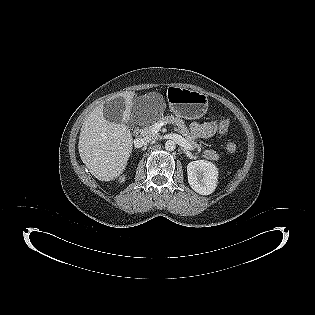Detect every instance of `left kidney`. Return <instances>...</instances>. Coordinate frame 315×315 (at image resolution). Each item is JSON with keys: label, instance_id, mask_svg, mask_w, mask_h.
I'll list each match as a JSON object with an SVG mask.
<instances>
[{"label": "left kidney", "instance_id": "5707ae66", "mask_svg": "<svg viewBox=\"0 0 315 315\" xmlns=\"http://www.w3.org/2000/svg\"><path fill=\"white\" fill-rule=\"evenodd\" d=\"M188 182L191 188L201 194H211L217 186V167L208 161L197 160L187 165Z\"/></svg>", "mask_w": 315, "mask_h": 315}]
</instances>
